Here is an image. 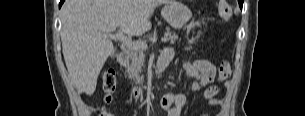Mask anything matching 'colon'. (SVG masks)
Masks as SVG:
<instances>
[{"mask_svg": "<svg viewBox=\"0 0 305 116\" xmlns=\"http://www.w3.org/2000/svg\"><path fill=\"white\" fill-rule=\"evenodd\" d=\"M219 15L225 21H229L233 16V9L228 1L220 0L218 3ZM232 73L231 66L228 62H223L218 69V77L221 81L227 80ZM103 81V92H104V103L110 104L113 101L114 93L117 87L116 72L112 68H107L104 70L102 75ZM99 116H114L111 111L104 107Z\"/></svg>", "mask_w": 305, "mask_h": 116, "instance_id": "colon-1", "label": "colon"}]
</instances>
